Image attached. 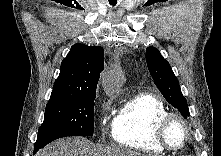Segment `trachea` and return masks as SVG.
<instances>
[{
  "instance_id": "trachea-1",
  "label": "trachea",
  "mask_w": 221,
  "mask_h": 156,
  "mask_svg": "<svg viewBox=\"0 0 221 156\" xmlns=\"http://www.w3.org/2000/svg\"><path fill=\"white\" fill-rule=\"evenodd\" d=\"M110 2V0H109ZM117 3V0H115V2H110L111 5H115Z\"/></svg>"
}]
</instances>
